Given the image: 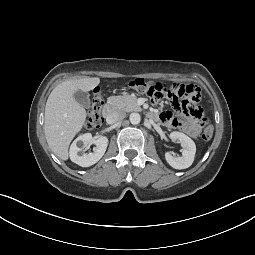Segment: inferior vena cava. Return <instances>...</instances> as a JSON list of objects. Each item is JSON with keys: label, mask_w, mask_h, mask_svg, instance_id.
Masks as SVG:
<instances>
[{"label": "inferior vena cava", "mask_w": 255, "mask_h": 255, "mask_svg": "<svg viewBox=\"0 0 255 255\" xmlns=\"http://www.w3.org/2000/svg\"><path fill=\"white\" fill-rule=\"evenodd\" d=\"M126 116V113L123 111H113L106 118L108 124H114L116 122L122 121Z\"/></svg>", "instance_id": "1"}]
</instances>
